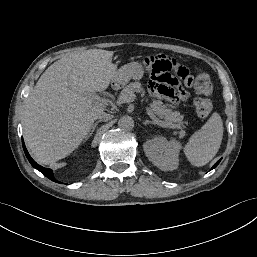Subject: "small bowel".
<instances>
[{
	"label": "small bowel",
	"instance_id": "c3829d8e",
	"mask_svg": "<svg viewBox=\"0 0 257 257\" xmlns=\"http://www.w3.org/2000/svg\"><path fill=\"white\" fill-rule=\"evenodd\" d=\"M142 68L151 73L147 76L145 87L153 101L166 99L172 104L187 101L189 94L185 90L193 82L190 67L180 59L170 58L166 53L145 57Z\"/></svg>",
	"mask_w": 257,
	"mask_h": 257
}]
</instances>
